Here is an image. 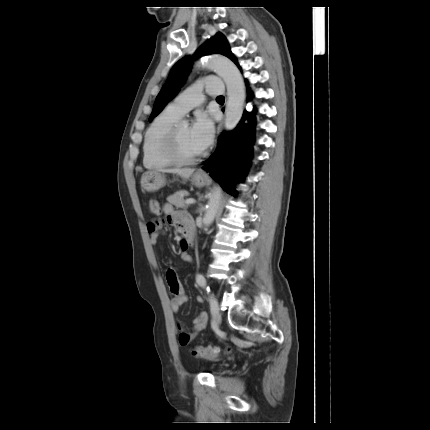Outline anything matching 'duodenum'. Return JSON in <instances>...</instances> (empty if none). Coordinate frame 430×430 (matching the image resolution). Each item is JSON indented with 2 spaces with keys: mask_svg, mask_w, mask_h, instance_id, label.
I'll use <instances>...</instances> for the list:
<instances>
[{
  "mask_svg": "<svg viewBox=\"0 0 430 430\" xmlns=\"http://www.w3.org/2000/svg\"><path fill=\"white\" fill-rule=\"evenodd\" d=\"M185 242L187 245H192L193 244V235H188Z\"/></svg>",
  "mask_w": 430,
  "mask_h": 430,
  "instance_id": "duodenum-1",
  "label": "duodenum"
}]
</instances>
